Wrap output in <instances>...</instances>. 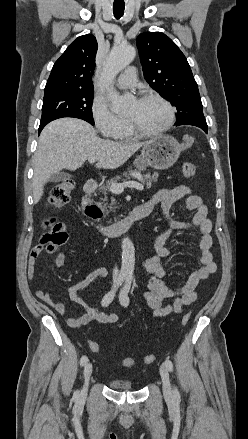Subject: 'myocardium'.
Returning <instances> with one entry per match:
<instances>
[{"instance_id":"myocardium-1","label":"myocardium","mask_w":248,"mask_h":439,"mask_svg":"<svg viewBox=\"0 0 248 439\" xmlns=\"http://www.w3.org/2000/svg\"><path fill=\"white\" fill-rule=\"evenodd\" d=\"M150 99L159 100L167 107L168 112H169L168 121L163 127L150 131V130H145V129L141 128L134 120L127 118V122L129 124V127L131 128V130L140 137H149V136L163 134V133L167 132L168 130H170L175 123L176 110H175V107L171 104V102L168 99H166L162 95H160L158 93H154V92L143 94L142 96H140L138 98L139 101L150 100Z\"/></svg>"}]
</instances>
